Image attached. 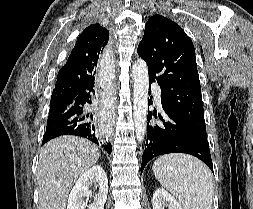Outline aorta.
<instances>
[{"instance_id":"1","label":"aorta","mask_w":253,"mask_h":209,"mask_svg":"<svg viewBox=\"0 0 253 209\" xmlns=\"http://www.w3.org/2000/svg\"><path fill=\"white\" fill-rule=\"evenodd\" d=\"M134 80L133 117L136 139L143 142L146 133V116L148 107V68L143 60H137L132 67Z\"/></svg>"}]
</instances>
